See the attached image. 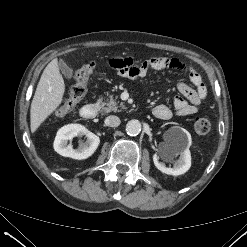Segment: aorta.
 <instances>
[{
    "instance_id": "aorta-1",
    "label": "aorta",
    "mask_w": 247,
    "mask_h": 247,
    "mask_svg": "<svg viewBox=\"0 0 247 247\" xmlns=\"http://www.w3.org/2000/svg\"><path fill=\"white\" fill-rule=\"evenodd\" d=\"M126 132L130 136H137L141 132V123L138 120H130L126 124Z\"/></svg>"
}]
</instances>
